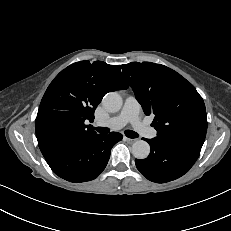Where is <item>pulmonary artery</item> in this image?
Instances as JSON below:
<instances>
[{"mask_svg":"<svg viewBox=\"0 0 231 231\" xmlns=\"http://www.w3.org/2000/svg\"><path fill=\"white\" fill-rule=\"evenodd\" d=\"M140 109V105L135 97L129 96L125 99L124 105L119 114L110 118L106 123H97V125H106L112 129H119L127 123H131L132 126L144 137L155 138L157 136V130L140 120Z\"/></svg>","mask_w":231,"mask_h":231,"instance_id":"pulmonary-artery-1","label":"pulmonary artery"}]
</instances>
